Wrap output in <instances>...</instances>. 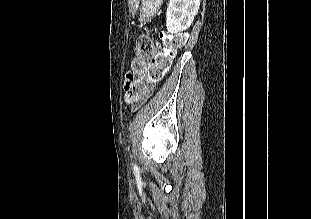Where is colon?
<instances>
[{
	"label": "colon",
	"mask_w": 311,
	"mask_h": 219,
	"mask_svg": "<svg viewBox=\"0 0 311 219\" xmlns=\"http://www.w3.org/2000/svg\"><path fill=\"white\" fill-rule=\"evenodd\" d=\"M160 41L167 46V51H160V41L151 36H141L136 43L133 71L139 72L147 64V76L151 80L160 79L170 64L175 52L184 44L185 35L160 34Z\"/></svg>",
	"instance_id": "5ec220e1"
}]
</instances>
